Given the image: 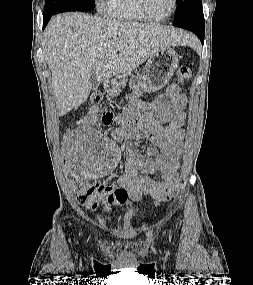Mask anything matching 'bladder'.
<instances>
[{
  "label": "bladder",
  "instance_id": "1",
  "mask_svg": "<svg viewBox=\"0 0 253 285\" xmlns=\"http://www.w3.org/2000/svg\"><path fill=\"white\" fill-rule=\"evenodd\" d=\"M137 222H140V221H139V220H134V221H133V223H137ZM129 223H130V222H129Z\"/></svg>",
  "mask_w": 253,
  "mask_h": 285
}]
</instances>
